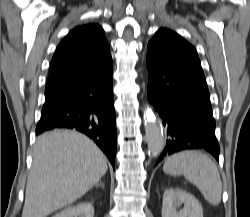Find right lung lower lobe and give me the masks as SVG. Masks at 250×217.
<instances>
[{
    "instance_id": "obj_1",
    "label": "right lung lower lobe",
    "mask_w": 250,
    "mask_h": 217,
    "mask_svg": "<svg viewBox=\"0 0 250 217\" xmlns=\"http://www.w3.org/2000/svg\"><path fill=\"white\" fill-rule=\"evenodd\" d=\"M112 85L110 63L85 80L45 93L36 135L59 128L80 131L96 142L115 168L117 131Z\"/></svg>"
}]
</instances>
